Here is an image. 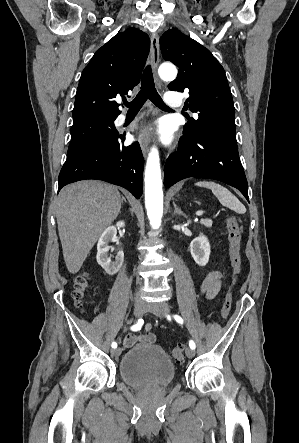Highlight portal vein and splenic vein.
Segmentation results:
<instances>
[{
	"mask_svg": "<svg viewBox=\"0 0 299 443\" xmlns=\"http://www.w3.org/2000/svg\"><path fill=\"white\" fill-rule=\"evenodd\" d=\"M203 214H204V212L202 210L196 212L197 216H202Z\"/></svg>",
	"mask_w": 299,
	"mask_h": 443,
	"instance_id": "obj_1",
	"label": "portal vein and splenic vein"
}]
</instances>
